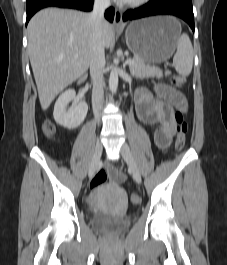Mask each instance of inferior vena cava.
Returning <instances> with one entry per match:
<instances>
[{
    "instance_id": "inferior-vena-cava-1",
    "label": "inferior vena cava",
    "mask_w": 227,
    "mask_h": 265,
    "mask_svg": "<svg viewBox=\"0 0 227 265\" xmlns=\"http://www.w3.org/2000/svg\"><path fill=\"white\" fill-rule=\"evenodd\" d=\"M110 6V0H95L90 13L92 23V51L90 56V75L93 82L92 108L94 116L99 120L104 102L103 73L105 67V51L102 24L105 21L104 12Z\"/></svg>"
}]
</instances>
